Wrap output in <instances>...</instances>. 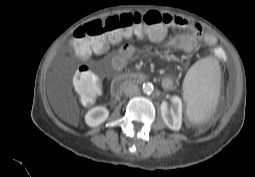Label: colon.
<instances>
[{
    "instance_id": "obj_1",
    "label": "colon",
    "mask_w": 255,
    "mask_h": 177,
    "mask_svg": "<svg viewBox=\"0 0 255 177\" xmlns=\"http://www.w3.org/2000/svg\"><path fill=\"white\" fill-rule=\"evenodd\" d=\"M166 26L164 15L157 11L126 13L79 27L73 34L72 46L76 55L86 58L92 52H103L123 39L142 35L158 39L163 36ZM73 84L83 103L90 105L96 101L101 82L89 67L82 66L77 70Z\"/></svg>"
}]
</instances>
